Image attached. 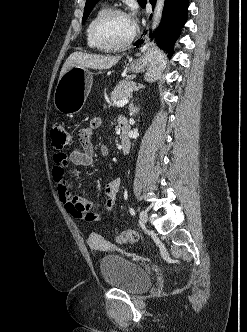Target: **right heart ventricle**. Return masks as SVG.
<instances>
[{
  "instance_id": "right-heart-ventricle-1",
  "label": "right heart ventricle",
  "mask_w": 247,
  "mask_h": 332,
  "mask_svg": "<svg viewBox=\"0 0 247 332\" xmlns=\"http://www.w3.org/2000/svg\"><path fill=\"white\" fill-rule=\"evenodd\" d=\"M105 10H107L106 6H102L100 8H98L94 14L91 16V18L89 19L87 26H86V30H85V34H86V42L89 48L93 49V50H104L102 49L92 38L91 35V26L94 22V20L101 14L103 13Z\"/></svg>"
}]
</instances>
